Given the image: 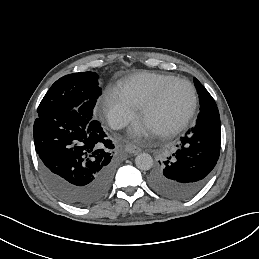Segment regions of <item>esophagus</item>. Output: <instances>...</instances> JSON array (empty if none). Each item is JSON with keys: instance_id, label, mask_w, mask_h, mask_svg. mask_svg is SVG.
Here are the masks:
<instances>
[{"instance_id": "1", "label": "esophagus", "mask_w": 259, "mask_h": 259, "mask_svg": "<svg viewBox=\"0 0 259 259\" xmlns=\"http://www.w3.org/2000/svg\"><path fill=\"white\" fill-rule=\"evenodd\" d=\"M126 151L130 154H137L141 152V149L135 145L127 144L126 145Z\"/></svg>"}]
</instances>
